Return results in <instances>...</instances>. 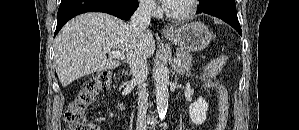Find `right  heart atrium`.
Returning a JSON list of instances; mask_svg holds the SVG:
<instances>
[{
    "mask_svg": "<svg viewBox=\"0 0 299 130\" xmlns=\"http://www.w3.org/2000/svg\"><path fill=\"white\" fill-rule=\"evenodd\" d=\"M140 7L143 11L150 13V14H155L158 12V4L155 1L152 0H143L140 1Z\"/></svg>",
    "mask_w": 299,
    "mask_h": 130,
    "instance_id": "1",
    "label": "right heart atrium"
}]
</instances>
